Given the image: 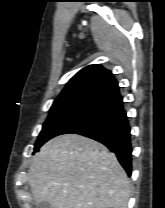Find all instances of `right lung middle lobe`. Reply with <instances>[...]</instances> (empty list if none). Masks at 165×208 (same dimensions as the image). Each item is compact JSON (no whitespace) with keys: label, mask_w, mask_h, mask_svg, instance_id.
Returning a JSON list of instances; mask_svg holds the SVG:
<instances>
[{"label":"right lung middle lobe","mask_w":165,"mask_h":208,"mask_svg":"<svg viewBox=\"0 0 165 208\" xmlns=\"http://www.w3.org/2000/svg\"><path fill=\"white\" fill-rule=\"evenodd\" d=\"M92 108V106L87 105L52 106L35 143L34 151L37 152L49 139L60 135L65 129L88 114Z\"/></svg>","instance_id":"1"}]
</instances>
